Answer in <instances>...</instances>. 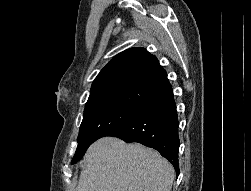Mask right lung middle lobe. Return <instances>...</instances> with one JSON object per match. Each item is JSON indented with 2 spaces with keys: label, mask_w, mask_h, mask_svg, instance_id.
Returning <instances> with one entry per match:
<instances>
[{
  "label": "right lung middle lobe",
  "mask_w": 251,
  "mask_h": 191,
  "mask_svg": "<svg viewBox=\"0 0 251 191\" xmlns=\"http://www.w3.org/2000/svg\"><path fill=\"white\" fill-rule=\"evenodd\" d=\"M140 109L124 103H108L86 109L77 138L78 147L71 163L82 159L93 142L125 123Z\"/></svg>",
  "instance_id": "dd1d6c3e"
}]
</instances>
